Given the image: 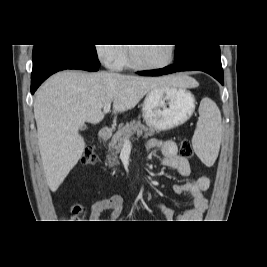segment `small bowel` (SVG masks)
I'll return each mask as SVG.
<instances>
[{
	"mask_svg": "<svg viewBox=\"0 0 267 267\" xmlns=\"http://www.w3.org/2000/svg\"><path fill=\"white\" fill-rule=\"evenodd\" d=\"M147 148L159 149L163 155L162 165L176 170L182 176H188L191 173L188 160L178 154V147L174 141L150 139L147 142ZM210 179L206 175H200L196 179L183 184L173 186V191L177 194L187 193L193 199V206L183 215L175 220L173 211L162 205L159 209L169 222H194L202 218L207 209V199L204 191L209 187ZM113 210L111 219L118 220L123 212V198L119 194H114L94 201L90 207L89 219L98 221L102 212Z\"/></svg>",
	"mask_w": 267,
	"mask_h": 267,
	"instance_id": "1",
	"label": "small bowel"
}]
</instances>
